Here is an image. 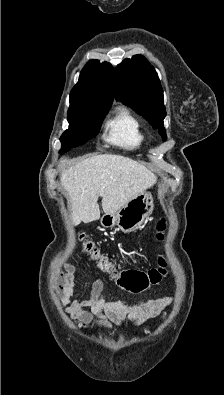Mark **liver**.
<instances>
[{
	"label": "liver",
	"mask_w": 224,
	"mask_h": 395,
	"mask_svg": "<svg viewBox=\"0 0 224 395\" xmlns=\"http://www.w3.org/2000/svg\"><path fill=\"white\" fill-rule=\"evenodd\" d=\"M66 162L62 159L61 166ZM155 182L156 176L148 168L116 154L94 155L64 169L61 175L75 226L100 218L99 197L103 211L115 213Z\"/></svg>",
	"instance_id": "1"
}]
</instances>
